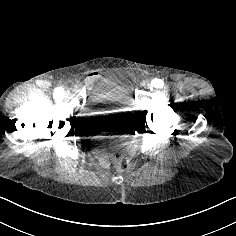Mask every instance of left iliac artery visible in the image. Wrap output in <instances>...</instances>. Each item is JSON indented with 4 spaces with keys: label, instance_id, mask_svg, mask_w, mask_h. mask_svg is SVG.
<instances>
[{
    "label": "left iliac artery",
    "instance_id": "obj_1",
    "mask_svg": "<svg viewBox=\"0 0 236 236\" xmlns=\"http://www.w3.org/2000/svg\"><path fill=\"white\" fill-rule=\"evenodd\" d=\"M151 86L155 88H162L164 86V82L161 79H153L151 82Z\"/></svg>",
    "mask_w": 236,
    "mask_h": 236
}]
</instances>
